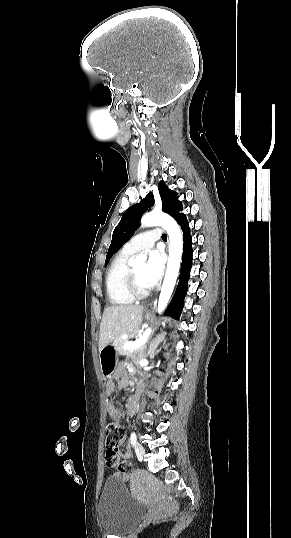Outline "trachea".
<instances>
[{"label": "trachea", "mask_w": 291, "mask_h": 538, "mask_svg": "<svg viewBox=\"0 0 291 538\" xmlns=\"http://www.w3.org/2000/svg\"><path fill=\"white\" fill-rule=\"evenodd\" d=\"M162 239H163V240H167V235H166V234H163V235H162Z\"/></svg>", "instance_id": "3493384b"}]
</instances>
